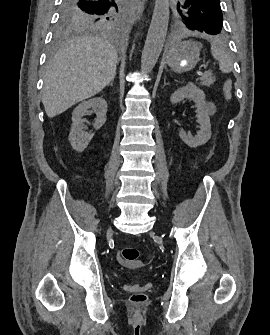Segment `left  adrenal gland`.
Listing matches in <instances>:
<instances>
[{"label":"left adrenal gland","mask_w":270,"mask_h":335,"mask_svg":"<svg viewBox=\"0 0 270 335\" xmlns=\"http://www.w3.org/2000/svg\"><path fill=\"white\" fill-rule=\"evenodd\" d=\"M164 86H167L165 78H164ZM164 86H163V88H164Z\"/></svg>","instance_id":"a2214340"}]
</instances>
